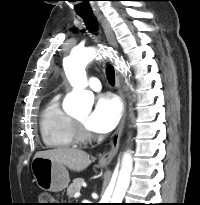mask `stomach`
Returning a JSON list of instances; mask_svg holds the SVG:
<instances>
[{
	"label": "stomach",
	"instance_id": "0dacf381",
	"mask_svg": "<svg viewBox=\"0 0 200 205\" xmlns=\"http://www.w3.org/2000/svg\"><path fill=\"white\" fill-rule=\"evenodd\" d=\"M31 169L37 185L43 190L60 192L69 184L66 167L49 158L34 157Z\"/></svg>",
	"mask_w": 200,
	"mask_h": 205
}]
</instances>
